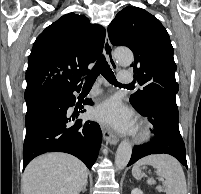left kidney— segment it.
Wrapping results in <instances>:
<instances>
[{
  "mask_svg": "<svg viewBox=\"0 0 201 194\" xmlns=\"http://www.w3.org/2000/svg\"><path fill=\"white\" fill-rule=\"evenodd\" d=\"M131 194H144L141 189L139 188H134L132 191H131Z\"/></svg>",
  "mask_w": 201,
  "mask_h": 194,
  "instance_id": "1",
  "label": "left kidney"
}]
</instances>
